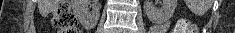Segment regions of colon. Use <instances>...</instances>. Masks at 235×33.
I'll return each mask as SVG.
<instances>
[{"mask_svg": "<svg viewBox=\"0 0 235 33\" xmlns=\"http://www.w3.org/2000/svg\"><path fill=\"white\" fill-rule=\"evenodd\" d=\"M53 25L56 27V33H78L77 19L72 12L70 5L66 1L60 2L52 16ZM196 27L186 20H180L174 33H195Z\"/></svg>", "mask_w": 235, "mask_h": 33, "instance_id": "1", "label": "colon"}]
</instances>
